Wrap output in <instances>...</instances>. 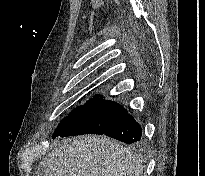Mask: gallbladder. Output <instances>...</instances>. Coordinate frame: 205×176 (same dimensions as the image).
<instances>
[{
	"instance_id": "1",
	"label": "gallbladder",
	"mask_w": 205,
	"mask_h": 176,
	"mask_svg": "<svg viewBox=\"0 0 205 176\" xmlns=\"http://www.w3.org/2000/svg\"><path fill=\"white\" fill-rule=\"evenodd\" d=\"M43 172L44 171L41 168H38L36 171V176H45Z\"/></svg>"
}]
</instances>
